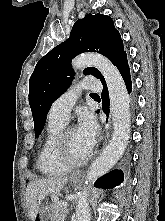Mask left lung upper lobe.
Segmentation results:
<instances>
[{"instance_id": "obj_1", "label": "left lung upper lobe", "mask_w": 165, "mask_h": 221, "mask_svg": "<svg viewBox=\"0 0 165 221\" xmlns=\"http://www.w3.org/2000/svg\"><path fill=\"white\" fill-rule=\"evenodd\" d=\"M88 51L106 56L115 66L126 55L123 41L111 17L88 14L83 19H79L73 25L70 37L37 63L29 80V104L36 137L45 124L52 103L71 84L74 76L71 59ZM83 73L92 74L100 78L101 82L105 81L94 67L86 68Z\"/></svg>"}]
</instances>
